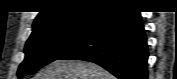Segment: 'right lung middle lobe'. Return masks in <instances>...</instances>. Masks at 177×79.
Returning a JSON list of instances; mask_svg holds the SVG:
<instances>
[{"mask_svg": "<svg viewBox=\"0 0 177 79\" xmlns=\"http://www.w3.org/2000/svg\"><path fill=\"white\" fill-rule=\"evenodd\" d=\"M102 15L94 13L80 18L51 22L33 29L25 46V60L18 69V77L22 78L58 60L87 37Z\"/></svg>", "mask_w": 177, "mask_h": 79, "instance_id": "dd1d6c3e", "label": "right lung middle lobe"}]
</instances>
